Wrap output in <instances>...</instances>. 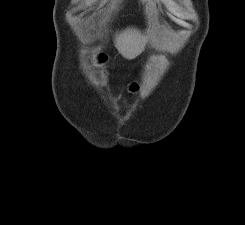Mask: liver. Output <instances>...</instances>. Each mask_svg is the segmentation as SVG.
Returning a JSON list of instances; mask_svg holds the SVG:
<instances>
[{"label": "liver", "instance_id": "liver-1", "mask_svg": "<svg viewBox=\"0 0 245 225\" xmlns=\"http://www.w3.org/2000/svg\"><path fill=\"white\" fill-rule=\"evenodd\" d=\"M145 45V38L134 29H127L117 35L115 47L126 59H133L142 52Z\"/></svg>", "mask_w": 245, "mask_h": 225}]
</instances>
